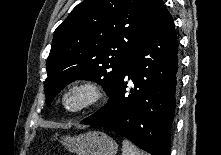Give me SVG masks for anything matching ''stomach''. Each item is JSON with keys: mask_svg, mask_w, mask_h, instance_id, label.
<instances>
[{"mask_svg": "<svg viewBox=\"0 0 221 155\" xmlns=\"http://www.w3.org/2000/svg\"><path fill=\"white\" fill-rule=\"evenodd\" d=\"M61 143L76 155H116L118 151L117 143L107 134L99 131L74 137L65 136Z\"/></svg>", "mask_w": 221, "mask_h": 155, "instance_id": "1", "label": "stomach"}]
</instances>
